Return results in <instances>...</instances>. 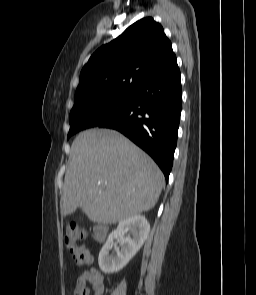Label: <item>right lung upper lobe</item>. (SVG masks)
<instances>
[{
    "instance_id": "right-lung-upper-lobe-1",
    "label": "right lung upper lobe",
    "mask_w": 256,
    "mask_h": 295,
    "mask_svg": "<svg viewBox=\"0 0 256 295\" xmlns=\"http://www.w3.org/2000/svg\"><path fill=\"white\" fill-rule=\"evenodd\" d=\"M173 56L163 27L151 17L143 18L90 57L81 71L75 101L135 92Z\"/></svg>"
}]
</instances>
